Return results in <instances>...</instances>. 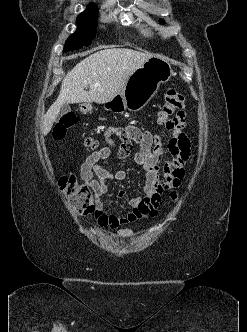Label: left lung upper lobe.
Here are the masks:
<instances>
[{
    "mask_svg": "<svg viewBox=\"0 0 247 332\" xmlns=\"http://www.w3.org/2000/svg\"><path fill=\"white\" fill-rule=\"evenodd\" d=\"M159 21H160L161 23H163V21H162L161 19H160Z\"/></svg>",
    "mask_w": 247,
    "mask_h": 332,
    "instance_id": "1",
    "label": "left lung upper lobe"
}]
</instances>
